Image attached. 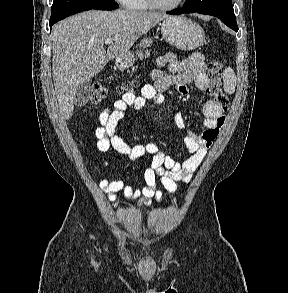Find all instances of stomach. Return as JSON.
<instances>
[{"mask_svg":"<svg viewBox=\"0 0 288 293\" xmlns=\"http://www.w3.org/2000/svg\"><path fill=\"white\" fill-rule=\"evenodd\" d=\"M162 35L172 46L181 50H193L203 45L205 33L200 25L181 16H168L162 22ZM151 39H142L140 46L143 48L151 45ZM133 52H128L117 58L116 65L120 70L127 69L134 64Z\"/></svg>","mask_w":288,"mask_h":293,"instance_id":"obj_1","label":"stomach"}]
</instances>
